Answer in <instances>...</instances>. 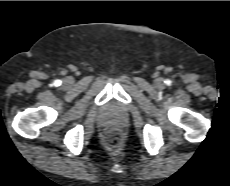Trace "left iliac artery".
<instances>
[{
    "label": "left iliac artery",
    "instance_id": "44dca946",
    "mask_svg": "<svg viewBox=\"0 0 230 186\" xmlns=\"http://www.w3.org/2000/svg\"><path fill=\"white\" fill-rule=\"evenodd\" d=\"M165 83L169 86V85H171L172 82H171V80H166Z\"/></svg>",
    "mask_w": 230,
    "mask_h": 186
}]
</instances>
